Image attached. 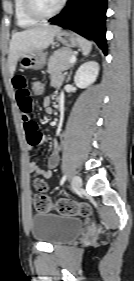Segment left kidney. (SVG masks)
I'll return each instance as SVG.
<instances>
[{
    "label": "left kidney",
    "mask_w": 134,
    "mask_h": 281,
    "mask_svg": "<svg viewBox=\"0 0 134 281\" xmlns=\"http://www.w3.org/2000/svg\"><path fill=\"white\" fill-rule=\"evenodd\" d=\"M98 73L99 64L97 62H85L76 71L74 82L79 88H86L96 81Z\"/></svg>",
    "instance_id": "left-kidney-1"
}]
</instances>
